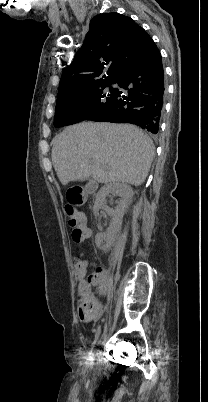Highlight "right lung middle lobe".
Masks as SVG:
<instances>
[{
    "instance_id": "right-lung-middle-lobe-1",
    "label": "right lung middle lobe",
    "mask_w": 208,
    "mask_h": 402,
    "mask_svg": "<svg viewBox=\"0 0 208 402\" xmlns=\"http://www.w3.org/2000/svg\"><path fill=\"white\" fill-rule=\"evenodd\" d=\"M114 80H97L71 90L58 93L54 126L70 125L90 120L96 113L110 110L117 90L106 89Z\"/></svg>"
}]
</instances>
